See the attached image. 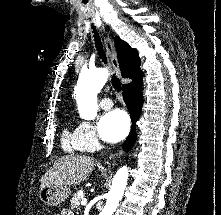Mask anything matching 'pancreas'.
<instances>
[{
	"label": "pancreas",
	"mask_w": 221,
	"mask_h": 215,
	"mask_svg": "<svg viewBox=\"0 0 221 215\" xmlns=\"http://www.w3.org/2000/svg\"><path fill=\"white\" fill-rule=\"evenodd\" d=\"M83 195L79 192L75 193L71 199V208H78L80 205V201L82 200Z\"/></svg>",
	"instance_id": "cf45deb5"
}]
</instances>
